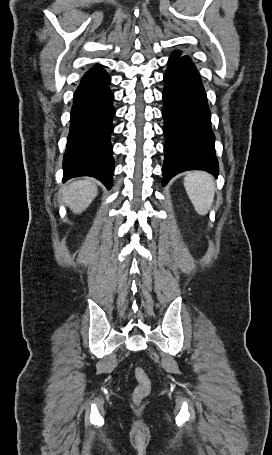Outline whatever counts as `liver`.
I'll return each instance as SVG.
<instances>
[{"label":"liver","mask_w":272,"mask_h":455,"mask_svg":"<svg viewBox=\"0 0 272 455\" xmlns=\"http://www.w3.org/2000/svg\"><path fill=\"white\" fill-rule=\"evenodd\" d=\"M98 193V189L91 179H82L64 187L62 194L65 204L75 214L86 210Z\"/></svg>","instance_id":"liver-1"}]
</instances>
